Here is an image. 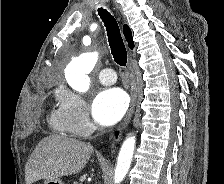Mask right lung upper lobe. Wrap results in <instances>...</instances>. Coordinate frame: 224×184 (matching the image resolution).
<instances>
[{"mask_svg": "<svg viewBox=\"0 0 224 184\" xmlns=\"http://www.w3.org/2000/svg\"><path fill=\"white\" fill-rule=\"evenodd\" d=\"M124 35L126 37V40L128 42L129 47L132 49L134 47L133 39H132V33L131 30L127 25L124 26Z\"/></svg>", "mask_w": 224, "mask_h": 184, "instance_id": "1", "label": "right lung upper lobe"}]
</instances>
